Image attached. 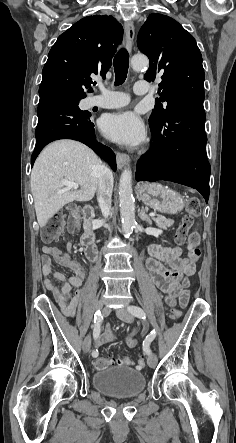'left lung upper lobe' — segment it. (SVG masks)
Here are the masks:
<instances>
[{"instance_id": "obj_1", "label": "left lung upper lobe", "mask_w": 236, "mask_h": 443, "mask_svg": "<svg viewBox=\"0 0 236 443\" xmlns=\"http://www.w3.org/2000/svg\"><path fill=\"white\" fill-rule=\"evenodd\" d=\"M138 48L148 56L150 66L144 79L161 75L158 93L162 102L155 105L149 123L159 125L172 108L185 103L204 102L202 56L194 37L169 16L153 13L139 31Z\"/></svg>"}]
</instances>
